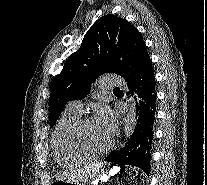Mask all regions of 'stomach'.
<instances>
[{"label":"stomach","mask_w":207,"mask_h":185,"mask_svg":"<svg viewBox=\"0 0 207 185\" xmlns=\"http://www.w3.org/2000/svg\"><path fill=\"white\" fill-rule=\"evenodd\" d=\"M119 171V168L117 167H113L108 173L103 174L98 182H103V181H107L109 179L110 176H113L114 174H116ZM72 183L65 181V180H57L53 183V185H71ZM93 184H98V183H93Z\"/></svg>","instance_id":"1"}]
</instances>
